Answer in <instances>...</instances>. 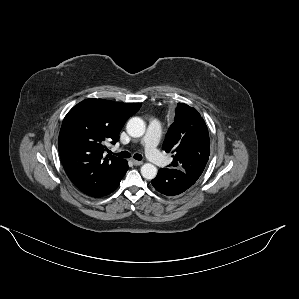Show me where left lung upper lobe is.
Listing matches in <instances>:
<instances>
[{
  "mask_svg": "<svg viewBox=\"0 0 299 299\" xmlns=\"http://www.w3.org/2000/svg\"><path fill=\"white\" fill-rule=\"evenodd\" d=\"M166 152H172V167L180 169L197 181L210 155L209 132L205 121L196 109L178 103L176 116L163 144Z\"/></svg>",
  "mask_w": 299,
  "mask_h": 299,
  "instance_id": "5c2ea615",
  "label": "left lung upper lobe"
}]
</instances>
